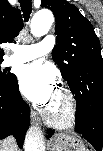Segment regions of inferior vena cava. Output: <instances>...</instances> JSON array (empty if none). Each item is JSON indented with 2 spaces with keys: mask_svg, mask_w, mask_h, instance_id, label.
I'll use <instances>...</instances> for the list:
<instances>
[{
  "mask_svg": "<svg viewBox=\"0 0 103 151\" xmlns=\"http://www.w3.org/2000/svg\"><path fill=\"white\" fill-rule=\"evenodd\" d=\"M15 143V140L13 137H8L6 138L2 143H1V146L3 148H5L4 150L1 149V151H9L8 146H10L11 144H14Z\"/></svg>",
  "mask_w": 103,
  "mask_h": 151,
  "instance_id": "1",
  "label": "inferior vena cava"
}]
</instances>
